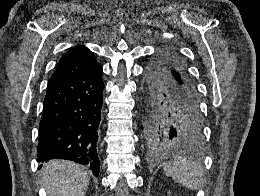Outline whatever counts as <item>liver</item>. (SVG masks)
Returning <instances> with one entry per match:
<instances>
[{
    "label": "liver",
    "mask_w": 260,
    "mask_h": 196,
    "mask_svg": "<svg viewBox=\"0 0 260 196\" xmlns=\"http://www.w3.org/2000/svg\"><path fill=\"white\" fill-rule=\"evenodd\" d=\"M90 178L83 166L67 160H50L43 168L47 196H85Z\"/></svg>",
    "instance_id": "1"
}]
</instances>
